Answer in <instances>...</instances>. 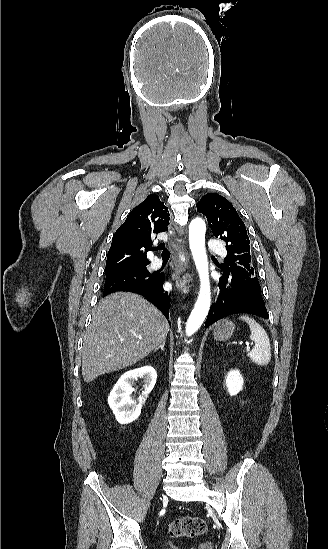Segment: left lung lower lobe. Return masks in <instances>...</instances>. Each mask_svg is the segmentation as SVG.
Returning <instances> with one entry per match:
<instances>
[{
	"instance_id": "0a47b994",
	"label": "left lung lower lobe",
	"mask_w": 328,
	"mask_h": 549,
	"mask_svg": "<svg viewBox=\"0 0 328 549\" xmlns=\"http://www.w3.org/2000/svg\"><path fill=\"white\" fill-rule=\"evenodd\" d=\"M221 272L218 298L210 308L205 326H209L223 317L238 313L253 314L263 318L269 317L257 278L237 273L228 274L222 269Z\"/></svg>"
}]
</instances>
